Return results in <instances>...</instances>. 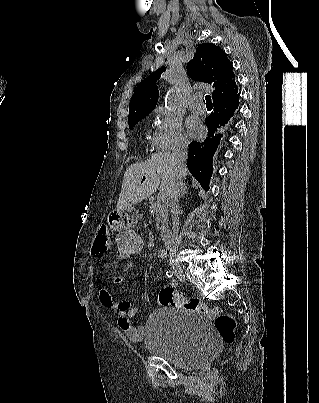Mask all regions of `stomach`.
I'll return each instance as SVG.
<instances>
[{
	"label": "stomach",
	"instance_id": "1",
	"mask_svg": "<svg viewBox=\"0 0 319 403\" xmlns=\"http://www.w3.org/2000/svg\"><path fill=\"white\" fill-rule=\"evenodd\" d=\"M137 210L128 208L125 210H111L108 215L109 227L113 229L115 235L133 232V228L138 226Z\"/></svg>",
	"mask_w": 319,
	"mask_h": 403
}]
</instances>
